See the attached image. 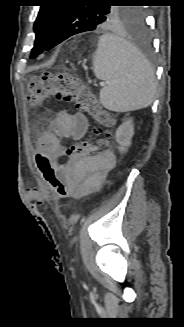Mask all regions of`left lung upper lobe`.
Returning <instances> with one entry per match:
<instances>
[{
    "mask_svg": "<svg viewBox=\"0 0 184 327\" xmlns=\"http://www.w3.org/2000/svg\"><path fill=\"white\" fill-rule=\"evenodd\" d=\"M50 0L40 6L34 24L35 44L30 58H36L49 45L57 28L62 23L66 30L86 32L100 27L124 25L134 27L143 20L141 10L133 6H111L110 3H130L131 0H106L104 4L85 6L81 0Z\"/></svg>",
    "mask_w": 184,
    "mask_h": 327,
    "instance_id": "left-lung-upper-lobe-1",
    "label": "left lung upper lobe"
}]
</instances>
